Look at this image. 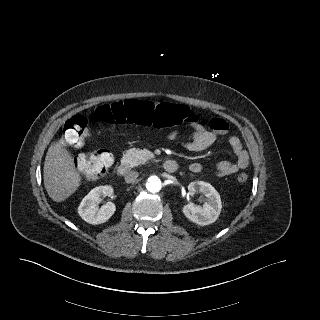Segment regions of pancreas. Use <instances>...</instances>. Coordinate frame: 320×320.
Segmentation results:
<instances>
[{"instance_id":"obj_1","label":"pancreas","mask_w":320,"mask_h":320,"mask_svg":"<svg viewBox=\"0 0 320 320\" xmlns=\"http://www.w3.org/2000/svg\"><path fill=\"white\" fill-rule=\"evenodd\" d=\"M126 163H128L131 167L138 166L143 164L147 159L141 154V152L136 148H131L123 153V158Z\"/></svg>"}]
</instances>
